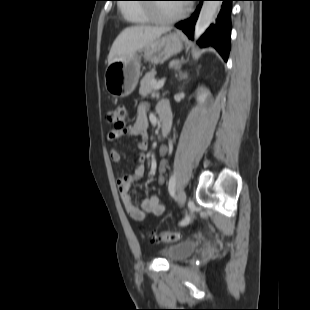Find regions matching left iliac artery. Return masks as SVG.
<instances>
[{"instance_id":"obj_1","label":"left iliac artery","mask_w":310,"mask_h":310,"mask_svg":"<svg viewBox=\"0 0 310 310\" xmlns=\"http://www.w3.org/2000/svg\"><path fill=\"white\" fill-rule=\"evenodd\" d=\"M175 185H176V176L175 174H172L169 179V185H168V191L172 198L176 199L175 195ZM191 217L189 214L186 213L184 218L179 222L180 226H186L190 223Z\"/></svg>"}]
</instances>
